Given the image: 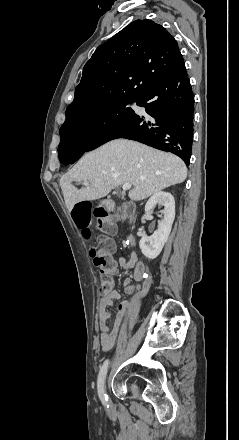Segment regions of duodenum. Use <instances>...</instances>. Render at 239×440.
<instances>
[{
	"label": "duodenum",
	"instance_id": "duodenum-1",
	"mask_svg": "<svg viewBox=\"0 0 239 440\" xmlns=\"http://www.w3.org/2000/svg\"><path fill=\"white\" fill-rule=\"evenodd\" d=\"M105 205H106V207H108V208H111V203L109 202V201H105Z\"/></svg>",
	"mask_w": 239,
	"mask_h": 440
}]
</instances>
